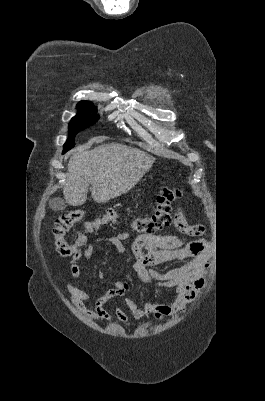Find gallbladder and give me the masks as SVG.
<instances>
[{"label":"gallbladder","instance_id":"bac80fb5","mask_svg":"<svg viewBox=\"0 0 265 401\" xmlns=\"http://www.w3.org/2000/svg\"><path fill=\"white\" fill-rule=\"evenodd\" d=\"M48 205L52 211H64V209H66L65 203H63L61 198H58V196H55V198H50Z\"/></svg>","mask_w":265,"mask_h":401}]
</instances>
